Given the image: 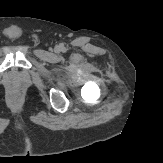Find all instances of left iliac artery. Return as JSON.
<instances>
[{
	"instance_id": "obj_1",
	"label": "left iliac artery",
	"mask_w": 163,
	"mask_h": 163,
	"mask_svg": "<svg viewBox=\"0 0 163 163\" xmlns=\"http://www.w3.org/2000/svg\"><path fill=\"white\" fill-rule=\"evenodd\" d=\"M62 50H63V51H65L66 49H65V48H63Z\"/></svg>"
}]
</instances>
